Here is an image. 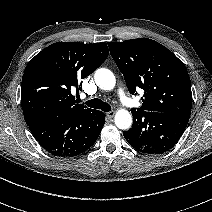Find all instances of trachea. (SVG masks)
<instances>
[{"label": "trachea", "instance_id": "1", "mask_svg": "<svg viewBox=\"0 0 212 212\" xmlns=\"http://www.w3.org/2000/svg\"><path fill=\"white\" fill-rule=\"evenodd\" d=\"M86 105L91 108L101 109L104 112H109L111 110V106L108 103H106L98 98H94V99L87 101Z\"/></svg>", "mask_w": 212, "mask_h": 212}]
</instances>
